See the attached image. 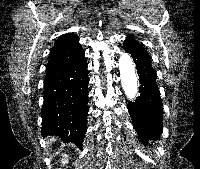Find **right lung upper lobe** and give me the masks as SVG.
<instances>
[{"mask_svg": "<svg viewBox=\"0 0 200 169\" xmlns=\"http://www.w3.org/2000/svg\"><path fill=\"white\" fill-rule=\"evenodd\" d=\"M83 49L79 43V38L75 34L61 36L51 50L47 69L71 62L77 58Z\"/></svg>", "mask_w": 200, "mask_h": 169, "instance_id": "right-lung-upper-lobe-1", "label": "right lung upper lobe"}]
</instances>
